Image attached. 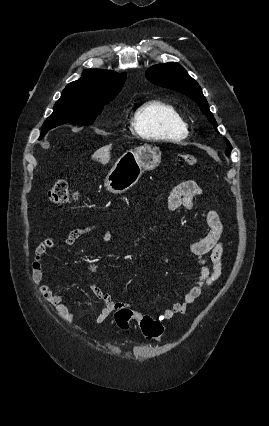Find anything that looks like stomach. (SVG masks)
Instances as JSON below:
<instances>
[{
    "mask_svg": "<svg viewBox=\"0 0 269 426\" xmlns=\"http://www.w3.org/2000/svg\"><path fill=\"white\" fill-rule=\"evenodd\" d=\"M160 161L158 147L145 144L127 151L108 173L105 186L111 193H123L138 182L144 171L156 168Z\"/></svg>",
    "mask_w": 269,
    "mask_h": 426,
    "instance_id": "1",
    "label": "stomach"
}]
</instances>
